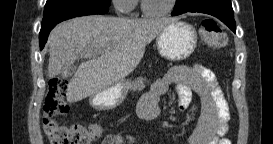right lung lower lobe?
<instances>
[{
    "label": "right lung lower lobe",
    "instance_id": "1",
    "mask_svg": "<svg viewBox=\"0 0 273 144\" xmlns=\"http://www.w3.org/2000/svg\"><path fill=\"white\" fill-rule=\"evenodd\" d=\"M108 5L95 2H70L55 5L44 14L39 34L40 50L43 49L50 31L61 21L92 14H105Z\"/></svg>",
    "mask_w": 273,
    "mask_h": 144
}]
</instances>
